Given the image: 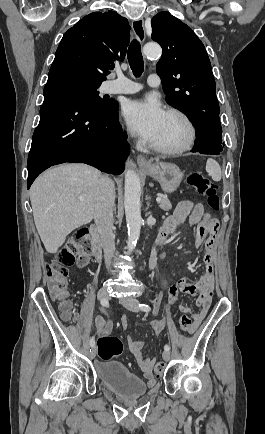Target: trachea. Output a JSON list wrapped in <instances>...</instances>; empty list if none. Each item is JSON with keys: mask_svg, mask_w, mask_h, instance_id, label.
<instances>
[{"mask_svg": "<svg viewBox=\"0 0 265 434\" xmlns=\"http://www.w3.org/2000/svg\"><path fill=\"white\" fill-rule=\"evenodd\" d=\"M128 62L135 77H139L144 70L143 56L140 43L134 39L128 48Z\"/></svg>", "mask_w": 265, "mask_h": 434, "instance_id": "3493384b", "label": "trachea"}]
</instances>
